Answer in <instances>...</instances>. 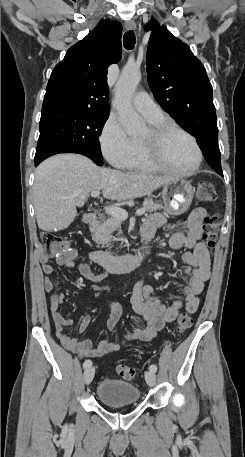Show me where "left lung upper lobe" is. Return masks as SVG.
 I'll list each match as a JSON object with an SVG mask.
<instances>
[{"label": "left lung upper lobe", "instance_id": "1", "mask_svg": "<svg viewBox=\"0 0 245 457\" xmlns=\"http://www.w3.org/2000/svg\"><path fill=\"white\" fill-rule=\"evenodd\" d=\"M150 24L146 65L157 102L192 135L217 126L212 86L204 66L167 28L156 20Z\"/></svg>", "mask_w": 245, "mask_h": 457}]
</instances>
